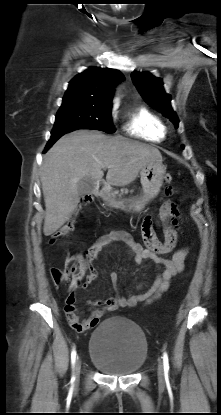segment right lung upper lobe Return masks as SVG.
I'll return each instance as SVG.
<instances>
[{
  "label": "right lung upper lobe",
  "instance_id": "obj_1",
  "mask_svg": "<svg viewBox=\"0 0 221 415\" xmlns=\"http://www.w3.org/2000/svg\"><path fill=\"white\" fill-rule=\"evenodd\" d=\"M122 79L123 74L118 70L91 67L70 81L64 99H90L111 103L114 87Z\"/></svg>",
  "mask_w": 221,
  "mask_h": 415
}]
</instances>
